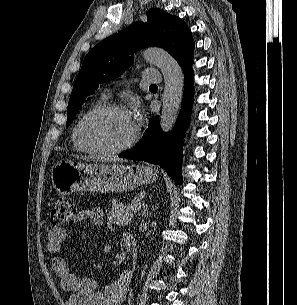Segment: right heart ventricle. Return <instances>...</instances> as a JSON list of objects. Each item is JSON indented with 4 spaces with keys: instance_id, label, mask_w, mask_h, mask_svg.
I'll use <instances>...</instances> for the list:
<instances>
[{
    "instance_id": "e07e8e85",
    "label": "right heart ventricle",
    "mask_w": 297,
    "mask_h": 305,
    "mask_svg": "<svg viewBox=\"0 0 297 305\" xmlns=\"http://www.w3.org/2000/svg\"><path fill=\"white\" fill-rule=\"evenodd\" d=\"M104 103V98H100L99 100H97L93 105H91L84 113L83 115L80 117V119L89 111H91L92 109L96 108V107H99V106H102ZM79 119V120H80ZM78 120V122H79ZM78 122L76 123V125L74 126L73 128V133H72V140H73V144H74V148L78 151H81V152H90L88 151L87 149H85L79 142L78 140V137H77V133H76V127H77V124Z\"/></svg>"
}]
</instances>
